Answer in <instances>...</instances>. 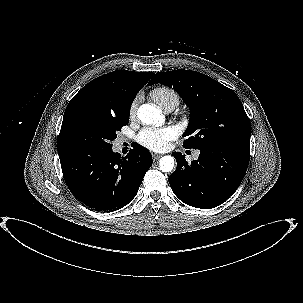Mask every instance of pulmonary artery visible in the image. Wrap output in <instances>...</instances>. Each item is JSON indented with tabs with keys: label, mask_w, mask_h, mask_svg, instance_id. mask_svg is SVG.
Listing matches in <instances>:
<instances>
[{
	"label": "pulmonary artery",
	"mask_w": 303,
	"mask_h": 303,
	"mask_svg": "<svg viewBox=\"0 0 303 303\" xmlns=\"http://www.w3.org/2000/svg\"><path fill=\"white\" fill-rule=\"evenodd\" d=\"M171 111H172V110H167L166 112H171ZM198 155H199V152H196L194 156L197 158Z\"/></svg>",
	"instance_id": "1"
}]
</instances>
